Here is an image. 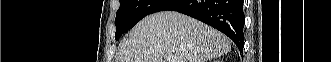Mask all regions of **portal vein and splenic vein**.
I'll return each mask as SVG.
<instances>
[{
	"label": "portal vein and splenic vein",
	"mask_w": 331,
	"mask_h": 62,
	"mask_svg": "<svg viewBox=\"0 0 331 62\" xmlns=\"http://www.w3.org/2000/svg\"><path fill=\"white\" fill-rule=\"evenodd\" d=\"M175 60H176L175 56H173V55H168L167 56V62H175Z\"/></svg>",
	"instance_id": "1"
}]
</instances>
